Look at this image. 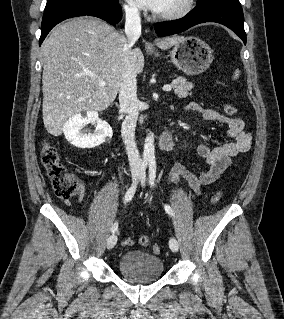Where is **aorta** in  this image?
Listing matches in <instances>:
<instances>
[{"mask_svg": "<svg viewBox=\"0 0 284 319\" xmlns=\"http://www.w3.org/2000/svg\"><path fill=\"white\" fill-rule=\"evenodd\" d=\"M155 146H154V137L153 134L146 136L143 157L145 160H154L155 159Z\"/></svg>", "mask_w": 284, "mask_h": 319, "instance_id": "1", "label": "aorta"}]
</instances>
